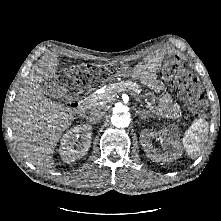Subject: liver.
Returning <instances> with one entry per match:
<instances>
[{
  "mask_svg": "<svg viewBox=\"0 0 221 221\" xmlns=\"http://www.w3.org/2000/svg\"><path fill=\"white\" fill-rule=\"evenodd\" d=\"M58 55L44 54L23 79L9 124L17 149L24 159L39 169L54 168L53 153L62 133L76 119L73 111L48 99L41 85L56 77Z\"/></svg>",
  "mask_w": 221,
  "mask_h": 221,
  "instance_id": "liver-1",
  "label": "liver"
}]
</instances>
